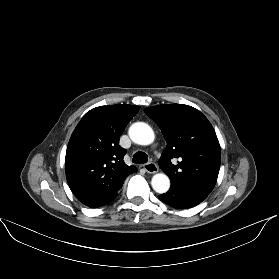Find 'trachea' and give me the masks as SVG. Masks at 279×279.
Returning a JSON list of instances; mask_svg holds the SVG:
<instances>
[{"instance_id": "trachea-1", "label": "trachea", "mask_w": 279, "mask_h": 279, "mask_svg": "<svg viewBox=\"0 0 279 279\" xmlns=\"http://www.w3.org/2000/svg\"><path fill=\"white\" fill-rule=\"evenodd\" d=\"M147 160H148V157L144 152H136L133 155V159H132L133 163H136V164H144L147 162Z\"/></svg>"}]
</instances>
